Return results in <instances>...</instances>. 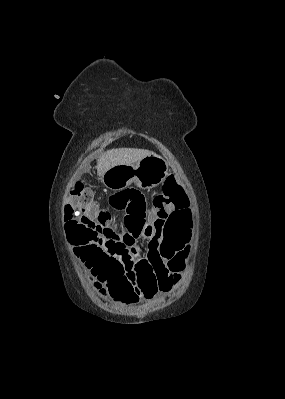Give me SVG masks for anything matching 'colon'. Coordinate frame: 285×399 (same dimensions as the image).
<instances>
[{
	"instance_id": "1",
	"label": "colon",
	"mask_w": 285,
	"mask_h": 399,
	"mask_svg": "<svg viewBox=\"0 0 285 399\" xmlns=\"http://www.w3.org/2000/svg\"><path fill=\"white\" fill-rule=\"evenodd\" d=\"M182 186L167 178L162 192L152 199V206L163 220L157 224L164 243L151 249L146 257H139L135 243L143 235L147 221V204L144 196L136 190L121 191L110 196L100 205L92 188L76 182L70 189L64 207L65 231L69 241L81 255V274L90 277L91 287L103 286L126 304L136 302L142 295H154L159 283L167 276L184 269L183 249L188 242L184 233H174V227L190 218L188 208L181 199ZM108 207L124 212L118 221ZM75 214V218L70 215ZM114 261L117 270L124 265L132 270L130 281L118 280L117 273L103 271L105 261Z\"/></svg>"
}]
</instances>
